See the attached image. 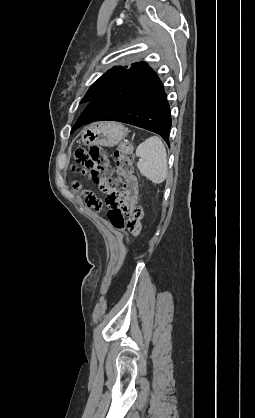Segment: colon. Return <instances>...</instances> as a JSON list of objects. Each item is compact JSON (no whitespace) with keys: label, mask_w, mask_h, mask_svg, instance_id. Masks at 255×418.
<instances>
[{"label":"colon","mask_w":255,"mask_h":418,"mask_svg":"<svg viewBox=\"0 0 255 418\" xmlns=\"http://www.w3.org/2000/svg\"><path fill=\"white\" fill-rule=\"evenodd\" d=\"M116 161V177L112 176L106 156L98 146H92L88 151L77 149L74 153L76 164L85 171L89 179L98 185L99 189L107 193L105 205L108 208L107 216L112 225L117 229L127 228L131 233L134 229H142V208L135 205L129 212V218H125L120 209L123 196L113 191L114 184L121 179L128 178L133 170V152L129 143H121L114 151ZM86 201L89 206L99 209L101 203L91 194L86 193ZM130 242V239H127ZM128 248L127 246L125 247Z\"/></svg>","instance_id":"5ec220e1"}]
</instances>
